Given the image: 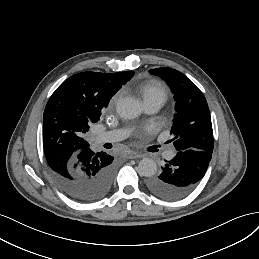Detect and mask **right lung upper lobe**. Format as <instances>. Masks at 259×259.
Wrapping results in <instances>:
<instances>
[{"mask_svg":"<svg viewBox=\"0 0 259 259\" xmlns=\"http://www.w3.org/2000/svg\"><path fill=\"white\" fill-rule=\"evenodd\" d=\"M133 74V71L82 72L65 80L54 91L43 115V148L52 171H65L91 150L85 133Z\"/></svg>","mask_w":259,"mask_h":259,"instance_id":"cb5924a9","label":"right lung upper lobe"}]
</instances>
